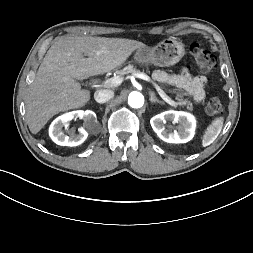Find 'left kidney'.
<instances>
[{"label": "left kidney", "mask_w": 253, "mask_h": 253, "mask_svg": "<svg viewBox=\"0 0 253 253\" xmlns=\"http://www.w3.org/2000/svg\"><path fill=\"white\" fill-rule=\"evenodd\" d=\"M166 122L179 123L177 130L170 132L165 128ZM151 126L158 137L167 143H186L195 132L196 121L187 112L169 110L151 118Z\"/></svg>", "instance_id": "1"}]
</instances>
